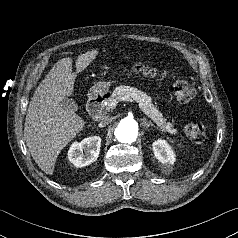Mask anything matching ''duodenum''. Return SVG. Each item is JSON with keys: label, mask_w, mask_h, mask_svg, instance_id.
<instances>
[{"label": "duodenum", "mask_w": 238, "mask_h": 238, "mask_svg": "<svg viewBox=\"0 0 238 238\" xmlns=\"http://www.w3.org/2000/svg\"><path fill=\"white\" fill-rule=\"evenodd\" d=\"M104 98L105 96L102 94H94L90 97L87 103V111L91 116L93 117L99 116L102 109Z\"/></svg>", "instance_id": "obj_1"}]
</instances>
